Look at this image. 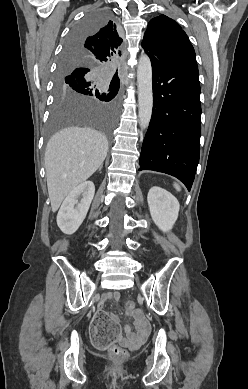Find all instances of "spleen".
Here are the masks:
<instances>
[{"mask_svg": "<svg viewBox=\"0 0 248 389\" xmlns=\"http://www.w3.org/2000/svg\"><path fill=\"white\" fill-rule=\"evenodd\" d=\"M174 187L176 188L177 191H180V190H181L179 184H177V183H174Z\"/></svg>", "mask_w": 248, "mask_h": 389, "instance_id": "obj_1", "label": "spleen"}]
</instances>
